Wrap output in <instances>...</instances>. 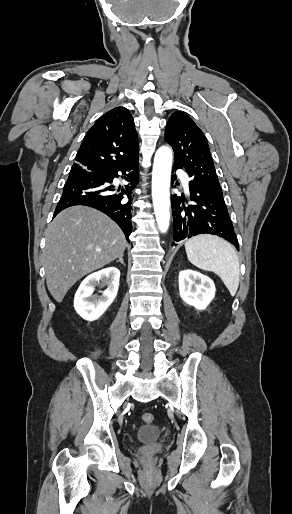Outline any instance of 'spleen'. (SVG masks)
Listing matches in <instances>:
<instances>
[{
	"mask_svg": "<svg viewBox=\"0 0 292 514\" xmlns=\"http://www.w3.org/2000/svg\"><path fill=\"white\" fill-rule=\"evenodd\" d=\"M185 250L193 266L217 274L231 296H235L240 282V264L236 250L231 244L218 236L200 234L186 242Z\"/></svg>",
	"mask_w": 292,
	"mask_h": 514,
	"instance_id": "spleen-1",
	"label": "spleen"
}]
</instances>
